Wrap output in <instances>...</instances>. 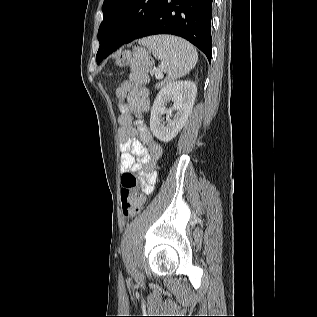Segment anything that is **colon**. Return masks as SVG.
Masks as SVG:
<instances>
[{"label":"colon","instance_id":"colon-1","mask_svg":"<svg viewBox=\"0 0 317 317\" xmlns=\"http://www.w3.org/2000/svg\"><path fill=\"white\" fill-rule=\"evenodd\" d=\"M119 67L130 68V81L139 86L147 80V71L151 61L145 55L138 52H127L118 57L116 61ZM138 180L131 171L124 172L121 178V207L124 216L133 217L140 213L145 204V198L137 190Z\"/></svg>","mask_w":317,"mask_h":317}]
</instances>
